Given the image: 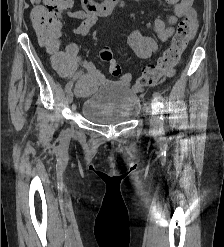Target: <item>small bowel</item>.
Listing matches in <instances>:
<instances>
[{
  "instance_id": "1",
  "label": "small bowel",
  "mask_w": 224,
  "mask_h": 247,
  "mask_svg": "<svg viewBox=\"0 0 224 247\" xmlns=\"http://www.w3.org/2000/svg\"><path fill=\"white\" fill-rule=\"evenodd\" d=\"M39 1V0H35ZM169 4L173 5V14L170 16L168 23L160 18H156L153 22V27L158 35L160 41L165 42L171 38L174 33V26L178 19L186 16L193 24V31L197 27L196 14L192 8L193 0H166ZM67 16L70 18H75L81 21L80 25L73 29V32L80 36H86L92 26L97 21V16L95 14L89 13L84 10L67 11ZM128 45L136 54L137 57L141 59H147L151 57L158 49V44L156 40L148 35H145L141 30L135 29L128 37ZM174 71L171 70L165 77L173 76ZM132 75L130 73H125L122 75L118 81L119 84L123 86H131ZM132 90L136 93L143 91V87L135 84L131 86Z\"/></svg>"
}]
</instances>
